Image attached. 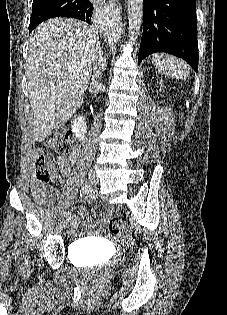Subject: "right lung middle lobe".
I'll use <instances>...</instances> for the list:
<instances>
[{
    "label": "right lung middle lobe",
    "instance_id": "obj_1",
    "mask_svg": "<svg viewBox=\"0 0 227 315\" xmlns=\"http://www.w3.org/2000/svg\"><path fill=\"white\" fill-rule=\"evenodd\" d=\"M78 1L81 0H33L29 32L47 19L61 17L64 9Z\"/></svg>",
    "mask_w": 227,
    "mask_h": 315
}]
</instances>
